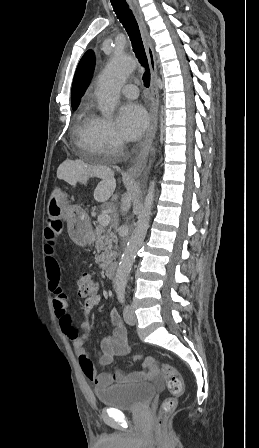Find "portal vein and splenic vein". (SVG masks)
Wrapping results in <instances>:
<instances>
[{
  "instance_id": "portal-vein-and-splenic-vein-1",
  "label": "portal vein and splenic vein",
  "mask_w": 259,
  "mask_h": 448,
  "mask_svg": "<svg viewBox=\"0 0 259 448\" xmlns=\"http://www.w3.org/2000/svg\"><path fill=\"white\" fill-rule=\"evenodd\" d=\"M98 222L100 226H109L110 216L108 214H101V216H98Z\"/></svg>"
}]
</instances>
